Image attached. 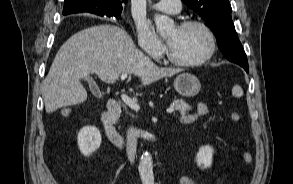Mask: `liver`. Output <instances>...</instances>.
I'll list each match as a JSON object with an SVG mask.
<instances>
[{"instance_id":"6515ba94","label":"liver","mask_w":293,"mask_h":184,"mask_svg":"<svg viewBox=\"0 0 293 184\" xmlns=\"http://www.w3.org/2000/svg\"><path fill=\"white\" fill-rule=\"evenodd\" d=\"M181 69L160 68L138 50L127 32L114 25H97L72 35L58 50L43 81L48 114L87 99L80 80L95 73L105 83H115L124 73L135 74L142 85L171 77Z\"/></svg>"}]
</instances>
